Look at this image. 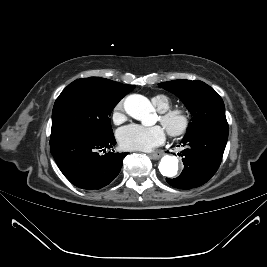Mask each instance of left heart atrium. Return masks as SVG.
<instances>
[{
	"label": "left heart atrium",
	"instance_id": "39dd6f15",
	"mask_svg": "<svg viewBox=\"0 0 267 267\" xmlns=\"http://www.w3.org/2000/svg\"><path fill=\"white\" fill-rule=\"evenodd\" d=\"M117 138L124 149L150 151L165 141V131L160 126L131 124L121 128Z\"/></svg>",
	"mask_w": 267,
	"mask_h": 267
}]
</instances>
